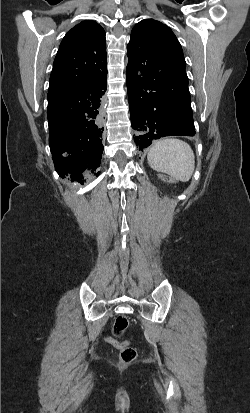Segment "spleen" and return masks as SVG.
<instances>
[{"mask_svg": "<svg viewBox=\"0 0 250 413\" xmlns=\"http://www.w3.org/2000/svg\"><path fill=\"white\" fill-rule=\"evenodd\" d=\"M147 160L149 166L182 182L190 180L195 168L192 148L183 140L161 139L151 147Z\"/></svg>", "mask_w": 250, "mask_h": 413, "instance_id": "obj_1", "label": "spleen"}]
</instances>
